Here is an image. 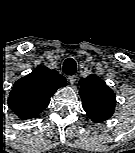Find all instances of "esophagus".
I'll list each match as a JSON object with an SVG mask.
<instances>
[{
    "label": "esophagus",
    "instance_id": "obj_1",
    "mask_svg": "<svg viewBox=\"0 0 135 153\" xmlns=\"http://www.w3.org/2000/svg\"><path fill=\"white\" fill-rule=\"evenodd\" d=\"M77 80V76L76 75H71L68 77V81L70 84H74Z\"/></svg>",
    "mask_w": 135,
    "mask_h": 153
}]
</instances>
